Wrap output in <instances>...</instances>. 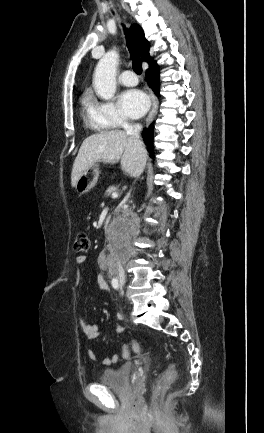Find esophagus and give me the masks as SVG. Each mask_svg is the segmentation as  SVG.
Returning a JSON list of instances; mask_svg holds the SVG:
<instances>
[{"label": "esophagus", "instance_id": "esophagus-1", "mask_svg": "<svg viewBox=\"0 0 264 433\" xmlns=\"http://www.w3.org/2000/svg\"><path fill=\"white\" fill-rule=\"evenodd\" d=\"M149 96L152 102V107L146 120L147 124H149L152 121L154 114L156 113L158 108V100L152 90L149 91Z\"/></svg>", "mask_w": 264, "mask_h": 433}]
</instances>
